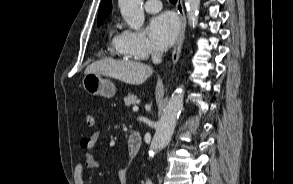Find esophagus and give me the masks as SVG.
Masks as SVG:
<instances>
[{
	"label": "esophagus",
	"mask_w": 293,
	"mask_h": 184,
	"mask_svg": "<svg viewBox=\"0 0 293 184\" xmlns=\"http://www.w3.org/2000/svg\"><path fill=\"white\" fill-rule=\"evenodd\" d=\"M176 10L180 18V32L172 52V63L174 65L178 62V59L181 53L182 44L185 38L186 16H185L182 0H177Z\"/></svg>",
	"instance_id": "obj_1"
}]
</instances>
